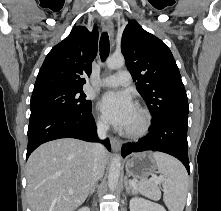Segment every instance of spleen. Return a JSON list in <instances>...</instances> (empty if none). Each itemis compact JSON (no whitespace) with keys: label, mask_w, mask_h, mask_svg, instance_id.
<instances>
[{"label":"spleen","mask_w":221,"mask_h":211,"mask_svg":"<svg viewBox=\"0 0 221 211\" xmlns=\"http://www.w3.org/2000/svg\"><path fill=\"white\" fill-rule=\"evenodd\" d=\"M162 175L163 200L169 211H183L188 192V175L184 166L172 156L161 152L152 154ZM140 192L148 198L159 200L161 191L152 179L142 178Z\"/></svg>","instance_id":"3e777b00"}]
</instances>
